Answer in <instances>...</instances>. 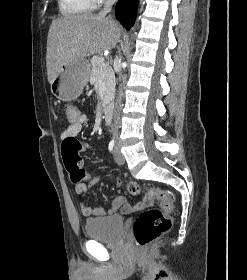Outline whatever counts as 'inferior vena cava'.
I'll return each mask as SVG.
<instances>
[{
  "label": "inferior vena cava",
  "instance_id": "1",
  "mask_svg": "<svg viewBox=\"0 0 247 280\" xmlns=\"http://www.w3.org/2000/svg\"><path fill=\"white\" fill-rule=\"evenodd\" d=\"M116 0H106L104 9L100 12V15H105L109 11H111V8L113 4L115 3ZM121 80V77H120ZM123 97V87L122 84L119 86L118 90V98L116 100V111L114 115V125L112 128V133L115 138H117V133H118V128H119V115H120V110H121V101Z\"/></svg>",
  "mask_w": 247,
  "mask_h": 280
}]
</instances>
